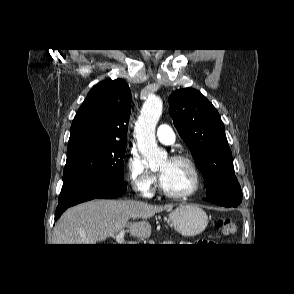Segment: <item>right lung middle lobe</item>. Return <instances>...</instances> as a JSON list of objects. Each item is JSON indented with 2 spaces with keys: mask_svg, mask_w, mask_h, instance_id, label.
Returning <instances> with one entry per match:
<instances>
[{
  "mask_svg": "<svg viewBox=\"0 0 294 294\" xmlns=\"http://www.w3.org/2000/svg\"><path fill=\"white\" fill-rule=\"evenodd\" d=\"M126 144L84 141L68 145L62 189L95 180L124 183Z\"/></svg>",
  "mask_w": 294,
  "mask_h": 294,
  "instance_id": "right-lung-middle-lobe-1",
  "label": "right lung middle lobe"
}]
</instances>
